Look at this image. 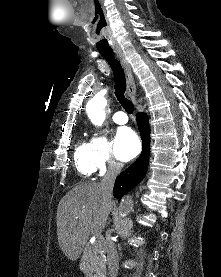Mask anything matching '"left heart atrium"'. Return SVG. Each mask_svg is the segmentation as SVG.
I'll list each match as a JSON object with an SVG mask.
<instances>
[{"instance_id":"39dd6f15","label":"left heart atrium","mask_w":221,"mask_h":277,"mask_svg":"<svg viewBox=\"0 0 221 277\" xmlns=\"http://www.w3.org/2000/svg\"><path fill=\"white\" fill-rule=\"evenodd\" d=\"M114 146L117 157L123 161H129L134 158L141 147L137 134L128 127L117 131Z\"/></svg>"}]
</instances>
